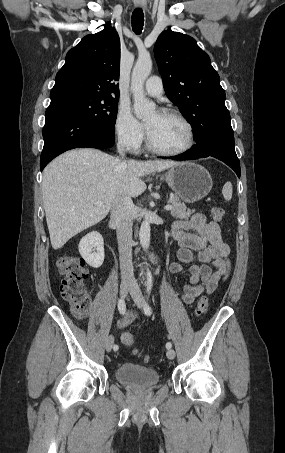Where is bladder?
Returning a JSON list of instances; mask_svg holds the SVG:
<instances>
[{
	"label": "bladder",
	"mask_w": 285,
	"mask_h": 453,
	"mask_svg": "<svg viewBox=\"0 0 285 453\" xmlns=\"http://www.w3.org/2000/svg\"><path fill=\"white\" fill-rule=\"evenodd\" d=\"M114 375L120 383L138 389L151 388L160 381L157 370L133 363L120 364L116 367Z\"/></svg>",
	"instance_id": "obj_1"
}]
</instances>
